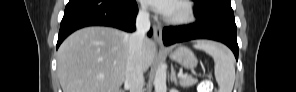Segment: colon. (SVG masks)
I'll use <instances>...</instances> for the list:
<instances>
[{
	"mask_svg": "<svg viewBox=\"0 0 296 92\" xmlns=\"http://www.w3.org/2000/svg\"><path fill=\"white\" fill-rule=\"evenodd\" d=\"M202 86H203V87H207V86H208V83H207V82H204V83L202 84Z\"/></svg>",
	"mask_w": 296,
	"mask_h": 92,
	"instance_id": "obj_1",
	"label": "colon"
}]
</instances>
